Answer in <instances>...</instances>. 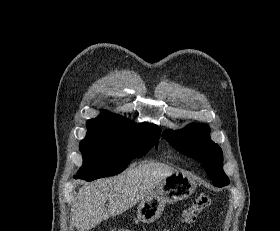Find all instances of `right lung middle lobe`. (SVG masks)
<instances>
[{
    "label": "right lung middle lobe",
    "instance_id": "right-lung-middle-lobe-1",
    "mask_svg": "<svg viewBox=\"0 0 280 231\" xmlns=\"http://www.w3.org/2000/svg\"><path fill=\"white\" fill-rule=\"evenodd\" d=\"M80 142L83 165L75 178L92 181L121 173L132 158L157 147L160 129L141 127L114 119L89 120Z\"/></svg>",
    "mask_w": 280,
    "mask_h": 231
}]
</instances>
